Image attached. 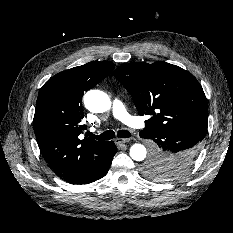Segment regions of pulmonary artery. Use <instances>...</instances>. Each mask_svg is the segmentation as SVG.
<instances>
[{"label":"pulmonary artery","instance_id":"obj_1","mask_svg":"<svg viewBox=\"0 0 233 233\" xmlns=\"http://www.w3.org/2000/svg\"><path fill=\"white\" fill-rule=\"evenodd\" d=\"M112 113L116 119L132 128L143 129L145 127L144 122L140 118L130 115L124 104L118 99L113 101Z\"/></svg>","mask_w":233,"mask_h":233}]
</instances>
